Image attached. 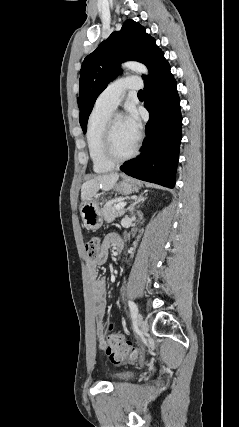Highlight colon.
I'll return each mask as SVG.
<instances>
[{
    "instance_id": "obj_1",
    "label": "colon",
    "mask_w": 239,
    "mask_h": 427,
    "mask_svg": "<svg viewBox=\"0 0 239 427\" xmlns=\"http://www.w3.org/2000/svg\"><path fill=\"white\" fill-rule=\"evenodd\" d=\"M99 250L100 238L92 237L85 243V253L87 258L94 259ZM109 330H112L111 325L109 326ZM105 352L113 363H132L142 355L143 350L135 348L129 342L124 341L119 334L110 332Z\"/></svg>"
}]
</instances>
